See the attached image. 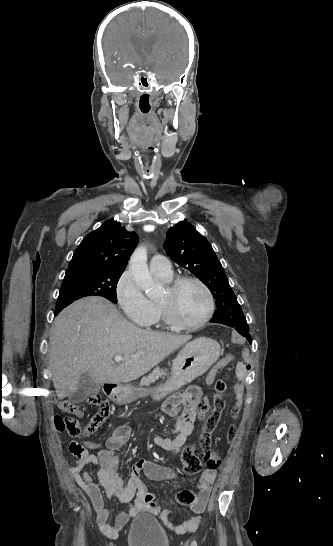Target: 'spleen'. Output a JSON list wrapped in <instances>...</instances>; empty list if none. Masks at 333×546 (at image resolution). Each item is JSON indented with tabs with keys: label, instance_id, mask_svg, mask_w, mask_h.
Masks as SVG:
<instances>
[{
	"label": "spleen",
	"instance_id": "spleen-1",
	"mask_svg": "<svg viewBox=\"0 0 333 546\" xmlns=\"http://www.w3.org/2000/svg\"><path fill=\"white\" fill-rule=\"evenodd\" d=\"M236 376L239 380H243L246 376V367L242 362H239L236 366Z\"/></svg>",
	"mask_w": 333,
	"mask_h": 546
}]
</instances>
